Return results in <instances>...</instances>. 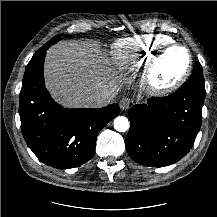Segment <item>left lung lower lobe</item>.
I'll list each match as a JSON object with an SVG mask.
<instances>
[{"label": "left lung lower lobe", "instance_id": "0a47b994", "mask_svg": "<svg viewBox=\"0 0 217 217\" xmlns=\"http://www.w3.org/2000/svg\"><path fill=\"white\" fill-rule=\"evenodd\" d=\"M204 98L205 88L189 80L167 97H152L146 104L132 106L125 139L131 158L157 167L183 158L200 130Z\"/></svg>", "mask_w": 217, "mask_h": 217}]
</instances>
